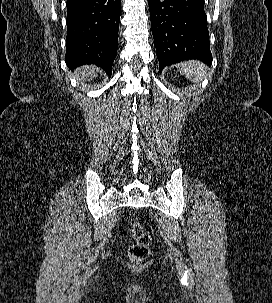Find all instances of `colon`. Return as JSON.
<instances>
[{"instance_id": "1", "label": "colon", "mask_w": 272, "mask_h": 303, "mask_svg": "<svg viewBox=\"0 0 272 303\" xmlns=\"http://www.w3.org/2000/svg\"><path fill=\"white\" fill-rule=\"evenodd\" d=\"M130 235L133 243L128 249L130 259L135 263H140L148 258L151 249V236L144 226L134 221L130 226Z\"/></svg>"}]
</instances>
